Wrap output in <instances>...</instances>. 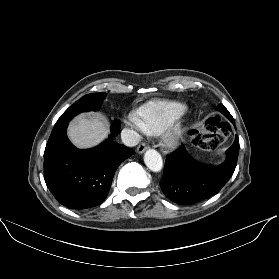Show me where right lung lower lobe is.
Returning a JSON list of instances; mask_svg holds the SVG:
<instances>
[{
    "label": "right lung lower lobe",
    "mask_w": 279,
    "mask_h": 279,
    "mask_svg": "<svg viewBox=\"0 0 279 279\" xmlns=\"http://www.w3.org/2000/svg\"><path fill=\"white\" fill-rule=\"evenodd\" d=\"M68 122L55 124L46 145L45 182L56 200L67 208H91L105 200L116 169L135 152L112 140L119 133V122L100 146L77 149L67 137Z\"/></svg>",
    "instance_id": "right-lung-lower-lobe-1"
}]
</instances>
